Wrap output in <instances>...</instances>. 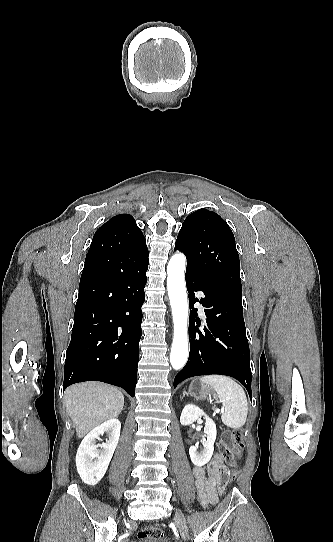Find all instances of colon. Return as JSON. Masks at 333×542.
<instances>
[{"mask_svg":"<svg viewBox=\"0 0 333 542\" xmlns=\"http://www.w3.org/2000/svg\"><path fill=\"white\" fill-rule=\"evenodd\" d=\"M244 446V432L241 429H225L222 440L219 442V450L222 453L225 462L231 469L232 475H236L239 470V460ZM229 481L226 476L222 480L221 488ZM138 539L143 542L160 541L163 538L161 528L151 525L138 533Z\"/></svg>","mask_w":333,"mask_h":542,"instance_id":"1","label":"colon"}]
</instances>
